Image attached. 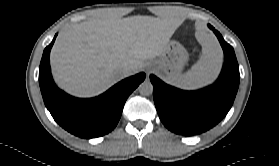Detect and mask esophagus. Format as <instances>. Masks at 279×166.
Segmentation results:
<instances>
[{"mask_svg": "<svg viewBox=\"0 0 279 166\" xmlns=\"http://www.w3.org/2000/svg\"><path fill=\"white\" fill-rule=\"evenodd\" d=\"M152 72L151 68H147L146 73L149 76V74Z\"/></svg>", "mask_w": 279, "mask_h": 166, "instance_id": "1", "label": "esophagus"}]
</instances>
